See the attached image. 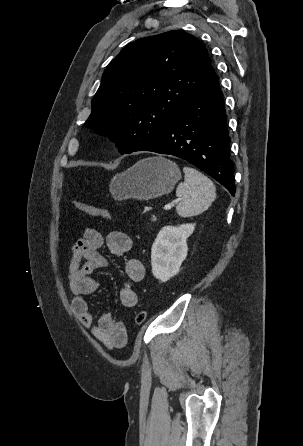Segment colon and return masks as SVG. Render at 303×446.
<instances>
[{
	"label": "colon",
	"mask_w": 303,
	"mask_h": 446,
	"mask_svg": "<svg viewBox=\"0 0 303 446\" xmlns=\"http://www.w3.org/2000/svg\"><path fill=\"white\" fill-rule=\"evenodd\" d=\"M74 206L81 212L86 213L92 217L101 218L105 221H110L111 216L108 210L97 207L95 205L89 204L84 201L76 200L74 201ZM147 318V312L145 310L139 311L135 316V323L141 325L145 322Z\"/></svg>",
	"instance_id": "colon-1"
}]
</instances>
